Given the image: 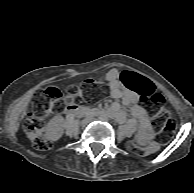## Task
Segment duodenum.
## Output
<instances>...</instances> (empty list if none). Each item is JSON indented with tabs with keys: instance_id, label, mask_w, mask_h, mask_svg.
<instances>
[{
	"instance_id": "1",
	"label": "duodenum",
	"mask_w": 194,
	"mask_h": 193,
	"mask_svg": "<svg viewBox=\"0 0 194 193\" xmlns=\"http://www.w3.org/2000/svg\"><path fill=\"white\" fill-rule=\"evenodd\" d=\"M64 112L66 114L70 115H86V114H92L99 117H104L105 113L99 110H91L89 108L79 106V105H69L64 109Z\"/></svg>"
}]
</instances>
